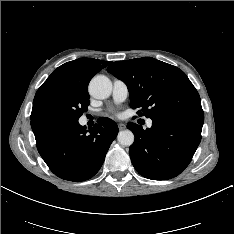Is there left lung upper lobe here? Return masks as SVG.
Returning a JSON list of instances; mask_svg holds the SVG:
<instances>
[{"label": "left lung upper lobe", "instance_id": "5c2ea615", "mask_svg": "<svg viewBox=\"0 0 234 234\" xmlns=\"http://www.w3.org/2000/svg\"><path fill=\"white\" fill-rule=\"evenodd\" d=\"M107 71L127 84L130 106L133 109L141 107L147 118L202 108L193 84L173 65L143 57L114 62Z\"/></svg>", "mask_w": 234, "mask_h": 234}]
</instances>
